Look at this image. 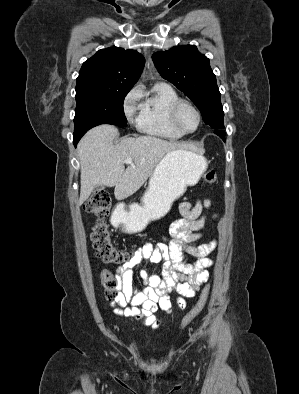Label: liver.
<instances>
[{
	"label": "liver",
	"instance_id": "liver-1",
	"mask_svg": "<svg viewBox=\"0 0 299 394\" xmlns=\"http://www.w3.org/2000/svg\"><path fill=\"white\" fill-rule=\"evenodd\" d=\"M118 130L112 125H99L89 130L78 144L81 164L79 204L86 201L99 185L114 187L118 200L134 194L152 176L157 165L170 151L183 148L154 136L126 137L113 144ZM134 161L125 169L124 161Z\"/></svg>",
	"mask_w": 299,
	"mask_h": 394
}]
</instances>
